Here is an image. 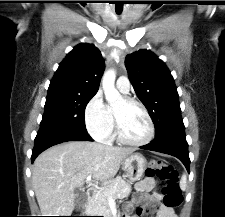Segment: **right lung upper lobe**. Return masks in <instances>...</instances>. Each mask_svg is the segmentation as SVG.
I'll use <instances>...</instances> for the list:
<instances>
[{
    "instance_id": "obj_1",
    "label": "right lung upper lobe",
    "mask_w": 225,
    "mask_h": 217,
    "mask_svg": "<svg viewBox=\"0 0 225 217\" xmlns=\"http://www.w3.org/2000/svg\"><path fill=\"white\" fill-rule=\"evenodd\" d=\"M104 61L93 44L77 45L59 64L48 93L95 95L103 74Z\"/></svg>"
}]
</instances>
